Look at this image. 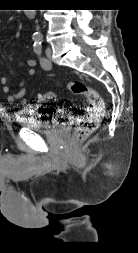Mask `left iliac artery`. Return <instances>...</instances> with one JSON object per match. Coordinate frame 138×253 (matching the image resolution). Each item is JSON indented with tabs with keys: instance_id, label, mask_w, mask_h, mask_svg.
Here are the masks:
<instances>
[{
	"instance_id": "1",
	"label": "left iliac artery",
	"mask_w": 138,
	"mask_h": 253,
	"mask_svg": "<svg viewBox=\"0 0 138 253\" xmlns=\"http://www.w3.org/2000/svg\"><path fill=\"white\" fill-rule=\"evenodd\" d=\"M34 52L39 57L41 67L43 69H48L49 61L42 56V45L40 41L34 43Z\"/></svg>"
}]
</instances>
